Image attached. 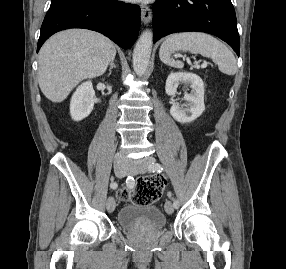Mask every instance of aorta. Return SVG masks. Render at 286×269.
<instances>
[{
  "label": "aorta",
  "mask_w": 286,
  "mask_h": 269,
  "mask_svg": "<svg viewBox=\"0 0 286 269\" xmlns=\"http://www.w3.org/2000/svg\"><path fill=\"white\" fill-rule=\"evenodd\" d=\"M152 32L144 31L133 51V68L137 75H143L148 67L152 50Z\"/></svg>",
  "instance_id": "762f6f07"
}]
</instances>
